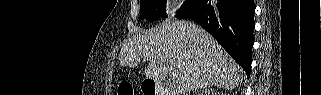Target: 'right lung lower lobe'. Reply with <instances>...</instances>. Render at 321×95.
Masks as SVG:
<instances>
[{"label":"right lung lower lobe","instance_id":"obj_1","mask_svg":"<svg viewBox=\"0 0 321 95\" xmlns=\"http://www.w3.org/2000/svg\"><path fill=\"white\" fill-rule=\"evenodd\" d=\"M255 4L253 0H204L189 17L208 31L245 70L251 71Z\"/></svg>","mask_w":321,"mask_h":95}]
</instances>
